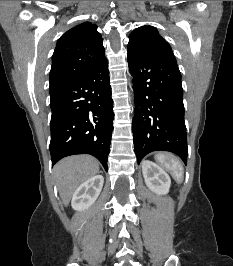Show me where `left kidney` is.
<instances>
[{
  "instance_id": "obj_1",
  "label": "left kidney",
  "mask_w": 233,
  "mask_h": 266,
  "mask_svg": "<svg viewBox=\"0 0 233 266\" xmlns=\"http://www.w3.org/2000/svg\"><path fill=\"white\" fill-rule=\"evenodd\" d=\"M142 172L147 187L158 195L169 192L171 180L168 174L158 165L151 161H143Z\"/></svg>"
}]
</instances>
